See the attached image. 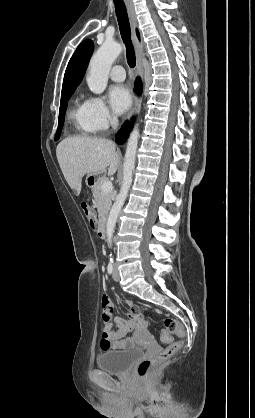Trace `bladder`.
Listing matches in <instances>:
<instances>
[{
	"label": "bladder",
	"mask_w": 255,
	"mask_h": 418,
	"mask_svg": "<svg viewBox=\"0 0 255 418\" xmlns=\"http://www.w3.org/2000/svg\"><path fill=\"white\" fill-rule=\"evenodd\" d=\"M142 349L131 347L122 350H109L99 354L96 364L99 369L110 373H125L141 356Z\"/></svg>",
	"instance_id": "bladder-1"
}]
</instances>
